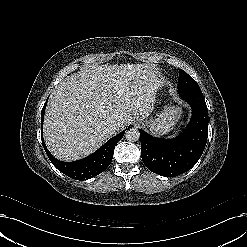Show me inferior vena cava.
I'll list each match as a JSON object with an SVG mask.
<instances>
[{
	"label": "inferior vena cava",
	"mask_w": 247,
	"mask_h": 247,
	"mask_svg": "<svg viewBox=\"0 0 247 247\" xmlns=\"http://www.w3.org/2000/svg\"><path fill=\"white\" fill-rule=\"evenodd\" d=\"M119 127V123L116 122V121H111L108 125H107V128L110 130V131H113L115 132Z\"/></svg>",
	"instance_id": "602c4592"
}]
</instances>
